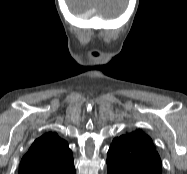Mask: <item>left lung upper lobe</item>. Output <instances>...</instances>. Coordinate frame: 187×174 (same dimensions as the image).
<instances>
[{
  "instance_id": "left-lung-upper-lobe-1",
  "label": "left lung upper lobe",
  "mask_w": 187,
  "mask_h": 174,
  "mask_svg": "<svg viewBox=\"0 0 187 174\" xmlns=\"http://www.w3.org/2000/svg\"><path fill=\"white\" fill-rule=\"evenodd\" d=\"M107 166L138 174H161V159L151 138L140 130L115 138L109 148Z\"/></svg>"
}]
</instances>
